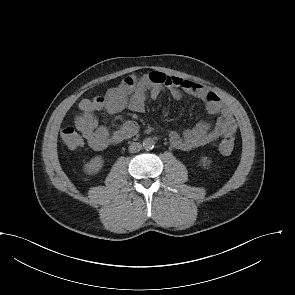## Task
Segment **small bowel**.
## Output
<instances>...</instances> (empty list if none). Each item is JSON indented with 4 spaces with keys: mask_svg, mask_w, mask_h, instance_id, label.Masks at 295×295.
Returning <instances> with one entry per match:
<instances>
[{
    "mask_svg": "<svg viewBox=\"0 0 295 295\" xmlns=\"http://www.w3.org/2000/svg\"><path fill=\"white\" fill-rule=\"evenodd\" d=\"M164 88L169 89L176 100L184 94L199 98L205 103L207 113L217 116L214 124L201 121L183 133L170 131L169 140L175 149L190 151L235 133L236 121L216 93L196 82L157 71L141 77L128 76L105 94L81 100L75 125L86 143L94 150L100 151L110 145L119 144L137 133V123L127 120L110 133L105 126L99 125L95 113L105 111L108 114H116L127 109L143 112L147 97L156 100Z\"/></svg>",
    "mask_w": 295,
    "mask_h": 295,
    "instance_id": "obj_1",
    "label": "small bowel"
}]
</instances>
